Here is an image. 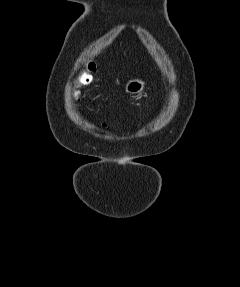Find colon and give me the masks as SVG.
Instances as JSON below:
<instances>
[{"mask_svg": "<svg viewBox=\"0 0 240 287\" xmlns=\"http://www.w3.org/2000/svg\"><path fill=\"white\" fill-rule=\"evenodd\" d=\"M95 70V64L93 62H88L86 64L85 70L78 76L77 82L79 85H86L91 82V73ZM69 103L76 108L79 115L84 118L88 119V116L84 112L81 106V94L78 90L74 89L69 94Z\"/></svg>", "mask_w": 240, "mask_h": 287, "instance_id": "obj_1", "label": "colon"}]
</instances>
